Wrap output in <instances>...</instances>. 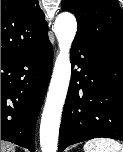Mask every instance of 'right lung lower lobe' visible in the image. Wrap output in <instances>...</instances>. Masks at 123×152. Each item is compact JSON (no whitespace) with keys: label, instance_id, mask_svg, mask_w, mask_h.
<instances>
[{"label":"right lung lower lobe","instance_id":"98d812e1","mask_svg":"<svg viewBox=\"0 0 123 152\" xmlns=\"http://www.w3.org/2000/svg\"><path fill=\"white\" fill-rule=\"evenodd\" d=\"M52 61L48 36L28 51L1 57V140L35 151L36 121Z\"/></svg>","mask_w":123,"mask_h":152}]
</instances>
